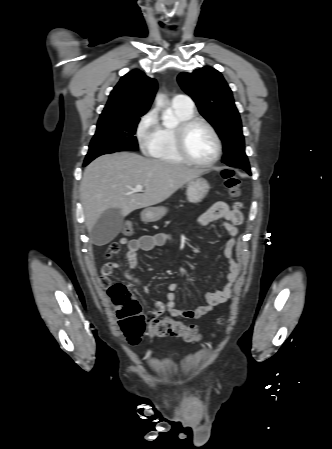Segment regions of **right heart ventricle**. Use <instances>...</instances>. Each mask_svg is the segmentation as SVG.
<instances>
[{
    "label": "right heart ventricle",
    "instance_id": "obj_1",
    "mask_svg": "<svg viewBox=\"0 0 332 449\" xmlns=\"http://www.w3.org/2000/svg\"><path fill=\"white\" fill-rule=\"evenodd\" d=\"M170 114L173 122L171 124L163 122L157 125L155 136L147 149V153L151 157L162 161L182 163L184 160L179 156L175 148L174 131L178 123L193 117V110L172 104Z\"/></svg>",
    "mask_w": 332,
    "mask_h": 449
}]
</instances>
